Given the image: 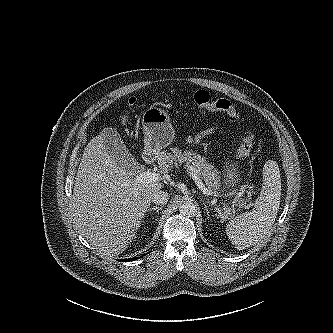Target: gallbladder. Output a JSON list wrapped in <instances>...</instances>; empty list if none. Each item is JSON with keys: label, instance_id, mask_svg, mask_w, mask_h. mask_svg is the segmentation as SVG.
I'll return each mask as SVG.
<instances>
[{"label": "gallbladder", "instance_id": "1", "mask_svg": "<svg viewBox=\"0 0 333 333\" xmlns=\"http://www.w3.org/2000/svg\"><path fill=\"white\" fill-rule=\"evenodd\" d=\"M104 145L107 147L109 156L121 167L130 172H135L139 165L134 156L128 151L118 132L113 128H105Z\"/></svg>", "mask_w": 333, "mask_h": 333}]
</instances>
